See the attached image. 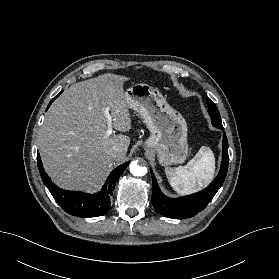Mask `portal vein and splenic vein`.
<instances>
[{
	"label": "portal vein and splenic vein",
	"mask_w": 279,
	"mask_h": 279,
	"mask_svg": "<svg viewBox=\"0 0 279 279\" xmlns=\"http://www.w3.org/2000/svg\"><path fill=\"white\" fill-rule=\"evenodd\" d=\"M104 114H105V117L108 119V129H107V131H106V134H107L108 136H110V135L112 134V132H113V129H112V118H111V116H110V114H109L108 109H106V110L104 111Z\"/></svg>",
	"instance_id": "obj_1"
}]
</instances>
